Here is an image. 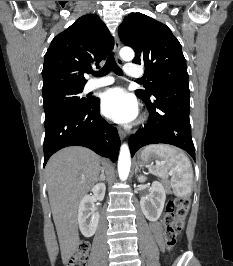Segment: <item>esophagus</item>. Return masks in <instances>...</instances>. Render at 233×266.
I'll use <instances>...</instances> for the list:
<instances>
[{
    "mask_svg": "<svg viewBox=\"0 0 233 266\" xmlns=\"http://www.w3.org/2000/svg\"><path fill=\"white\" fill-rule=\"evenodd\" d=\"M119 50H120V41L118 36L116 35L114 38V53H115V58L117 63L122 66L124 64L123 60L121 59V57L119 56ZM119 136L121 139H124L126 137V133L124 130L119 129L118 131Z\"/></svg>",
    "mask_w": 233,
    "mask_h": 266,
    "instance_id": "34e87169",
    "label": "esophagus"
}]
</instances>
